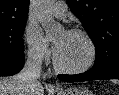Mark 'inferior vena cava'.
Returning <instances> with one entry per match:
<instances>
[{
	"label": "inferior vena cava",
	"mask_w": 119,
	"mask_h": 95,
	"mask_svg": "<svg viewBox=\"0 0 119 95\" xmlns=\"http://www.w3.org/2000/svg\"><path fill=\"white\" fill-rule=\"evenodd\" d=\"M42 66V57L40 54H29L22 71L19 73V79L26 84H37L40 78Z\"/></svg>",
	"instance_id": "inferior-vena-cava-1"
}]
</instances>
